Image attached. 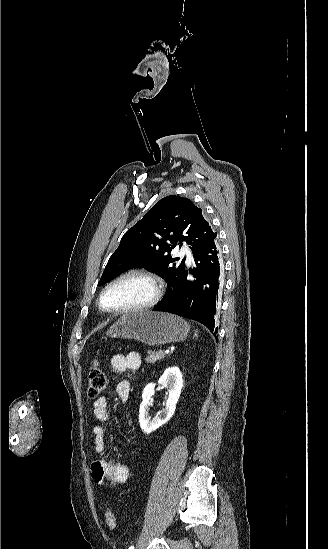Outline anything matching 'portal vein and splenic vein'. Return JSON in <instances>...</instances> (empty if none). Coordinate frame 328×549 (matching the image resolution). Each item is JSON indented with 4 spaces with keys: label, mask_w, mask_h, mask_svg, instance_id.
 <instances>
[{
    "label": "portal vein and splenic vein",
    "mask_w": 328,
    "mask_h": 549,
    "mask_svg": "<svg viewBox=\"0 0 328 549\" xmlns=\"http://www.w3.org/2000/svg\"><path fill=\"white\" fill-rule=\"evenodd\" d=\"M165 353H170V351H169V350H165Z\"/></svg>",
    "instance_id": "1"
}]
</instances>
